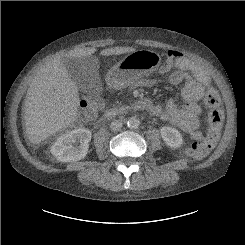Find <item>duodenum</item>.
Segmentation results:
<instances>
[{"instance_id":"1","label":"duodenum","mask_w":245,"mask_h":245,"mask_svg":"<svg viewBox=\"0 0 245 245\" xmlns=\"http://www.w3.org/2000/svg\"><path fill=\"white\" fill-rule=\"evenodd\" d=\"M156 105L149 99H143L134 104L128 105L122 108H111L107 109L104 113L105 120H112V119H120L122 116L141 111V110H153L155 109Z\"/></svg>"}]
</instances>
